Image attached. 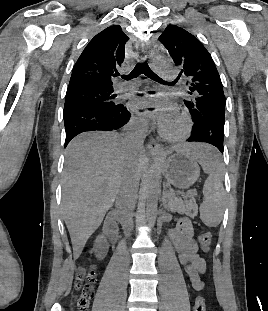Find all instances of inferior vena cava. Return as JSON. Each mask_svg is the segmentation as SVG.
I'll return each mask as SVG.
<instances>
[{"label":"inferior vena cava","instance_id":"inferior-vena-cava-1","mask_svg":"<svg viewBox=\"0 0 268 311\" xmlns=\"http://www.w3.org/2000/svg\"><path fill=\"white\" fill-rule=\"evenodd\" d=\"M125 139L132 144L133 152H138L140 144H136L131 136L124 134ZM137 197V186L132 180H127L123 183L118 199V212L121 217L122 227L127 235L133 228V210Z\"/></svg>","mask_w":268,"mask_h":311}]
</instances>
